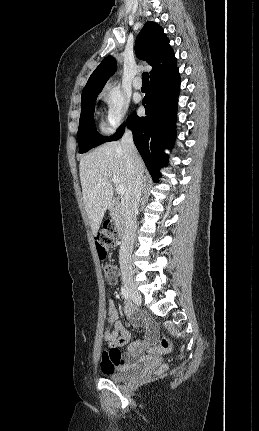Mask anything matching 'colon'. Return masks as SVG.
<instances>
[{
    "label": "colon",
    "instance_id": "colon-1",
    "mask_svg": "<svg viewBox=\"0 0 259 431\" xmlns=\"http://www.w3.org/2000/svg\"><path fill=\"white\" fill-rule=\"evenodd\" d=\"M95 244L98 256L101 260L106 259L110 253L113 251L117 244V230L113 223L106 222L102 228L98 231L95 237ZM104 274L109 283L114 284L117 281L119 270L117 266L113 264H106L104 266ZM170 348V340L163 338L156 347L158 352L167 351ZM150 350V349H148ZM163 368L156 370V374H160Z\"/></svg>",
    "mask_w": 259,
    "mask_h": 431
}]
</instances>
